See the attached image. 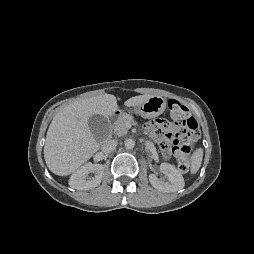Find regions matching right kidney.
I'll return each instance as SVG.
<instances>
[{"label": "right kidney", "instance_id": "right-kidney-1", "mask_svg": "<svg viewBox=\"0 0 254 254\" xmlns=\"http://www.w3.org/2000/svg\"><path fill=\"white\" fill-rule=\"evenodd\" d=\"M94 174L89 177L88 174ZM104 174V165L87 163L72 174L69 185L77 190H89L97 187Z\"/></svg>", "mask_w": 254, "mask_h": 254}]
</instances>
